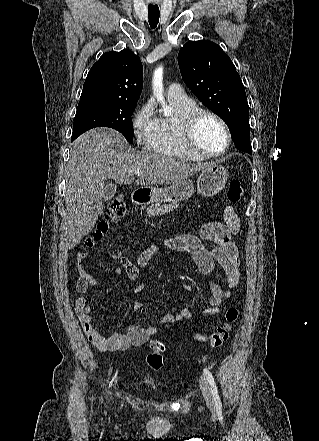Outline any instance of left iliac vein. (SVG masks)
<instances>
[{"label":"left iliac vein","mask_w":319,"mask_h":441,"mask_svg":"<svg viewBox=\"0 0 319 441\" xmlns=\"http://www.w3.org/2000/svg\"><path fill=\"white\" fill-rule=\"evenodd\" d=\"M200 390L203 394V397L205 399V402L210 410H214V400L212 396V392L210 390V387L207 383V381L204 378H200L199 380Z\"/></svg>","instance_id":"obj_1"}]
</instances>
